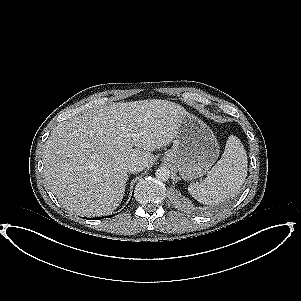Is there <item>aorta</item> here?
Masks as SVG:
<instances>
[{
  "label": "aorta",
  "instance_id": "762f6f07",
  "mask_svg": "<svg viewBox=\"0 0 301 301\" xmlns=\"http://www.w3.org/2000/svg\"><path fill=\"white\" fill-rule=\"evenodd\" d=\"M170 170L167 167H159L156 172L155 176L160 181H167L170 178Z\"/></svg>",
  "mask_w": 301,
  "mask_h": 301
}]
</instances>
